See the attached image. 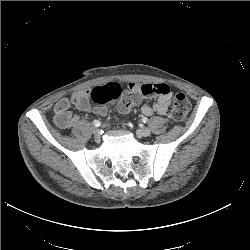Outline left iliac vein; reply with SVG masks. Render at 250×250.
Segmentation results:
<instances>
[{
    "instance_id": "obj_1",
    "label": "left iliac vein",
    "mask_w": 250,
    "mask_h": 250,
    "mask_svg": "<svg viewBox=\"0 0 250 250\" xmlns=\"http://www.w3.org/2000/svg\"><path fill=\"white\" fill-rule=\"evenodd\" d=\"M138 133H139L141 136H143V137H148V136H150L151 131H150V129H148V128H142V129H139V130H138Z\"/></svg>"
}]
</instances>
